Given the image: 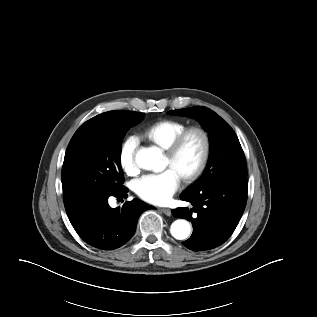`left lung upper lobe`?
<instances>
[{
  "label": "left lung upper lobe",
  "instance_id": "left-lung-upper-lobe-1",
  "mask_svg": "<svg viewBox=\"0 0 317 317\" xmlns=\"http://www.w3.org/2000/svg\"><path fill=\"white\" fill-rule=\"evenodd\" d=\"M201 122L209 132L210 158L200 179L186 191H197L220 181L246 179L247 167L240 142L229 124L206 107H190L169 112Z\"/></svg>",
  "mask_w": 317,
  "mask_h": 317
}]
</instances>
